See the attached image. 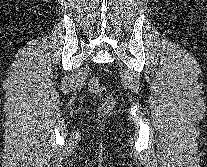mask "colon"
<instances>
[{"mask_svg": "<svg viewBox=\"0 0 207 167\" xmlns=\"http://www.w3.org/2000/svg\"><path fill=\"white\" fill-rule=\"evenodd\" d=\"M88 88L92 94L104 97L103 103L100 106V112L107 113L112 110L115 105L114 97L107 94L106 88L102 85L99 78L94 77L90 79Z\"/></svg>", "mask_w": 207, "mask_h": 167, "instance_id": "colon-1", "label": "colon"}]
</instances>
